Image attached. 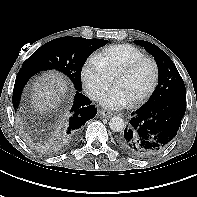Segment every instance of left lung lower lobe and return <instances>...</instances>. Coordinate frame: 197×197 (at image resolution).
I'll use <instances>...</instances> for the list:
<instances>
[{
  "label": "left lung lower lobe",
  "mask_w": 197,
  "mask_h": 197,
  "mask_svg": "<svg viewBox=\"0 0 197 197\" xmlns=\"http://www.w3.org/2000/svg\"><path fill=\"white\" fill-rule=\"evenodd\" d=\"M186 111V93H173L132 114L117 143L128 155L148 158L164 150L176 136Z\"/></svg>",
  "instance_id": "1"
}]
</instances>
